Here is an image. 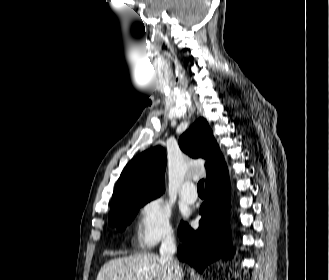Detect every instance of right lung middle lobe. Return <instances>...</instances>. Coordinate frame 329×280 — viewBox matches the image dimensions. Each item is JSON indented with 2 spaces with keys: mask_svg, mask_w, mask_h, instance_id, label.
<instances>
[{
  "mask_svg": "<svg viewBox=\"0 0 329 280\" xmlns=\"http://www.w3.org/2000/svg\"><path fill=\"white\" fill-rule=\"evenodd\" d=\"M154 198L156 197L135 199L123 203L109 213V224L116 226L118 230L123 231L126 228V225L131 223L138 209Z\"/></svg>",
  "mask_w": 329,
  "mask_h": 280,
  "instance_id": "right-lung-middle-lobe-1",
  "label": "right lung middle lobe"
}]
</instances>
